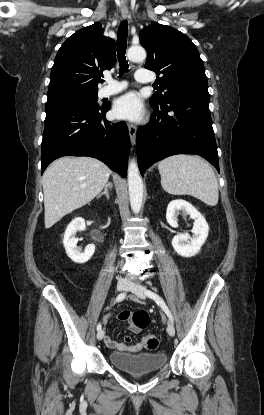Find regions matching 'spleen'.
I'll use <instances>...</instances> for the list:
<instances>
[{
    "label": "spleen",
    "instance_id": "obj_1",
    "mask_svg": "<svg viewBox=\"0 0 264 415\" xmlns=\"http://www.w3.org/2000/svg\"><path fill=\"white\" fill-rule=\"evenodd\" d=\"M161 185L169 194L190 195L207 205L218 203V184L210 165L198 156L174 155L158 164Z\"/></svg>",
    "mask_w": 264,
    "mask_h": 415
}]
</instances>
